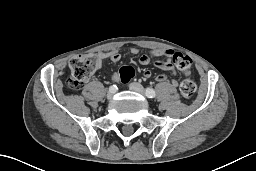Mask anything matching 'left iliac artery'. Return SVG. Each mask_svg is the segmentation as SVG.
Returning a JSON list of instances; mask_svg holds the SVG:
<instances>
[{
  "mask_svg": "<svg viewBox=\"0 0 256 171\" xmlns=\"http://www.w3.org/2000/svg\"><path fill=\"white\" fill-rule=\"evenodd\" d=\"M145 94L148 98H154L156 96V92L152 88H147Z\"/></svg>",
  "mask_w": 256,
  "mask_h": 171,
  "instance_id": "44dca946",
  "label": "left iliac artery"
}]
</instances>
